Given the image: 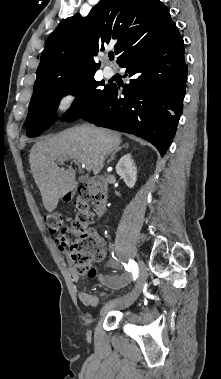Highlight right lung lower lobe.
<instances>
[{
    "label": "right lung lower lobe",
    "mask_w": 221,
    "mask_h": 379,
    "mask_svg": "<svg viewBox=\"0 0 221 379\" xmlns=\"http://www.w3.org/2000/svg\"><path fill=\"white\" fill-rule=\"evenodd\" d=\"M118 64L126 68L125 76L132 77L130 83L123 91L110 85L79 118L140 136L163 156L182 114L187 80L184 42L175 23Z\"/></svg>",
    "instance_id": "98d812e1"
}]
</instances>
